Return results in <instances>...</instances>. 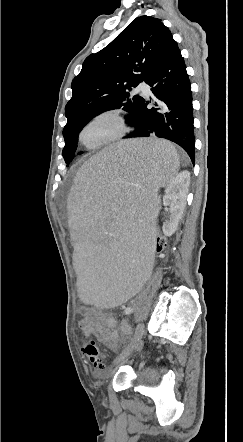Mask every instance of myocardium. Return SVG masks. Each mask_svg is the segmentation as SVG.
<instances>
[{
    "label": "myocardium",
    "mask_w": 243,
    "mask_h": 442,
    "mask_svg": "<svg viewBox=\"0 0 243 442\" xmlns=\"http://www.w3.org/2000/svg\"><path fill=\"white\" fill-rule=\"evenodd\" d=\"M103 118H111L113 120L116 121L117 123V131L111 135L110 137H108L107 139H104L96 144H86L83 141V133L85 131V129L93 122L99 120V119H103ZM129 131V123H128V119L125 115V113L120 110V109H108V110H104L101 111L95 115H93L92 117H90L88 120H86L83 125L80 127L79 131H78V141L79 143L84 146L87 149H99L103 146H106L108 144H111L121 138H123L127 132Z\"/></svg>",
    "instance_id": "1"
}]
</instances>
